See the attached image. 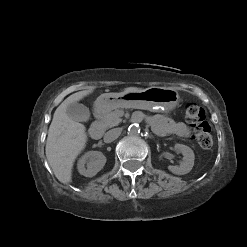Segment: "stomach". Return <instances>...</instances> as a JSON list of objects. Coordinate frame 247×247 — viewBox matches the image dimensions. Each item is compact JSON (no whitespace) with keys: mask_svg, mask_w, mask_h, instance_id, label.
<instances>
[{"mask_svg":"<svg viewBox=\"0 0 247 247\" xmlns=\"http://www.w3.org/2000/svg\"><path fill=\"white\" fill-rule=\"evenodd\" d=\"M180 101L178 91L171 87H150L142 91L124 94L105 93L95 101L96 110L100 113L118 107H132L160 112H169L177 107Z\"/></svg>","mask_w":247,"mask_h":247,"instance_id":"obj_1","label":"stomach"}]
</instances>
